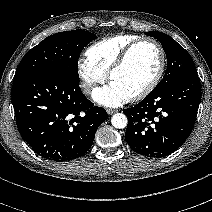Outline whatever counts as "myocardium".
<instances>
[{
	"label": "myocardium",
	"instance_id": "obj_1",
	"mask_svg": "<svg viewBox=\"0 0 212 212\" xmlns=\"http://www.w3.org/2000/svg\"><path fill=\"white\" fill-rule=\"evenodd\" d=\"M145 43L151 44L152 46H154L157 49V51L159 53V57H160L159 67H158L156 74L152 78V80L142 90H140L138 93H136L135 95L130 97V99L132 101H138V100L145 98L147 95H149L157 87V85L161 81L162 76H163L164 71H165V67H166V53H165L163 47L161 46V44L158 43L157 41H155L154 39H151V38H138V39H136L135 41L131 42L123 50V52L120 54L118 59L111 66V68L109 69V71L107 73L108 80L111 82L113 75L116 72H118L119 70H121L126 65V63L129 59L131 53L133 52V50L136 47H138L139 45L145 44Z\"/></svg>",
	"mask_w": 212,
	"mask_h": 212
}]
</instances>
